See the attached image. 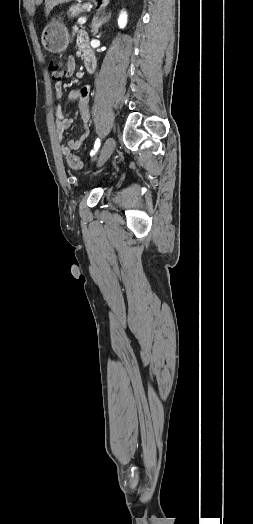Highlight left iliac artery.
Returning <instances> with one entry per match:
<instances>
[{"label":"left iliac artery","mask_w":253,"mask_h":524,"mask_svg":"<svg viewBox=\"0 0 253 524\" xmlns=\"http://www.w3.org/2000/svg\"><path fill=\"white\" fill-rule=\"evenodd\" d=\"M100 147V139L97 138L94 144V150L91 151V156L94 155Z\"/></svg>","instance_id":"1"}]
</instances>
